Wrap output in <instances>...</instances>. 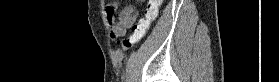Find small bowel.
I'll use <instances>...</instances> for the list:
<instances>
[{"mask_svg":"<svg viewBox=\"0 0 279 82\" xmlns=\"http://www.w3.org/2000/svg\"><path fill=\"white\" fill-rule=\"evenodd\" d=\"M118 2H109L106 4V16L110 23L111 35L113 38L123 35L126 29L132 27L138 17L139 10L135 6L123 8L117 17L116 9Z\"/></svg>","mask_w":279,"mask_h":82,"instance_id":"c3829d8e","label":"small bowel"}]
</instances>
